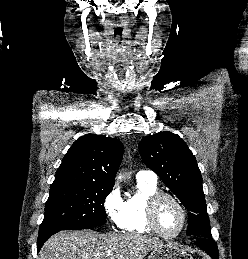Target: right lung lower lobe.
<instances>
[{"mask_svg": "<svg viewBox=\"0 0 248 259\" xmlns=\"http://www.w3.org/2000/svg\"><path fill=\"white\" fill-rule=\"evenodd\" d=\"M56 231H53V232H46V233H42V234H39L38 236V241H37V251H39L43 245V243L50 237L52 236L53 234H55Z\"/></svg>", "mask_w": 248, "mask_h": 259, "instance_id": "98d812e1", "label": "right lung lower lobe"}]
</instances>
